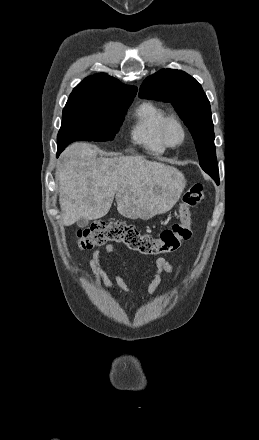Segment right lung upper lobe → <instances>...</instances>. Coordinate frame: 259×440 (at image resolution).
<instances>
[{"label":"right lung upper lobe","instance_id":"cb5924a9","mask_svg":"<svg viewBox=\"0 0 259 440\" xmlns=\"http://www.w3.org/2000/svg\"><path fill=\"white\" fill-rule=\"evenodd\" d=\"M137 88L126 86L106 74L85 78L74 88L68 102L85 103L96 106H110L116 102L134 98Z\"/></svg>","mask_w":259,"mask_h":440}]
</instances>
